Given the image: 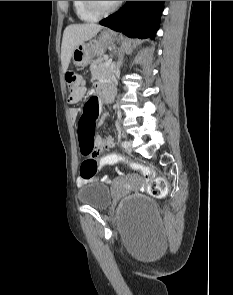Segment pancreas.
<instances>
[{
    "instance_id": "pancreas-1",
    "label": "pancreas",
    "mask_w": 233,
    "mask_h": 295,
    "mask_svg": "<svg viewBox=\"0 0 233 295\" xmlns=\"http://www.w3.org/2000/svg\"><path fill=\"white\" fill-rule=\"evenodd\" d=\"M106 60L98 58L90 65V71L93 78H101L110 72V66H105Z\"/></svg>"
}]
</instances>
